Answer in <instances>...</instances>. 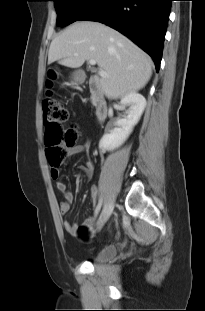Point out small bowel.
I'll list each match as a JSON object with an SVG mask.
<instances>
[{"instance_id": "obj_1", "label": "small bowel", "mask_w": 205, "mask_h": 311, "mask_svg": "<svg viewBox=\"0 0 205 311\" xmlns=\"http://www.w3.org/2000/svg\"><path fill=\"white\" fill-rule=\"evenodd\" d=\"M90 151V142L88 140L84 141L81 144H77L75 147L69 149L68 156H73L77 154H89ZM86 177L89 179L93 175L94 171V163L93 160L88 157L84 166L82 167ZM51 176L53 179H56V188L57 190L63 195L64 201H62L59 205L60 213L62 215H65L70 210V205L74 200V195L68 190L66 183H64L61 180H58L59 174L58 171L55 172V170H51ZM90 196L91 199L95 202L97 198V188L95 186H92L90 188ZM97 207V206H96ZM96 222V215L88 217L84 223L83 226L91 227ZM63 226L65 230L71 234H76V231L78 230L79 226L75 223H71L69 221H64Z\"/></svg>"}]
</instances>
